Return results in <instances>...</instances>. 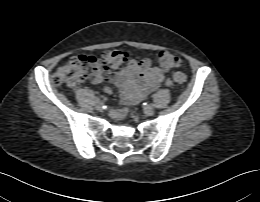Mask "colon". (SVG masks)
Masks as SVG:
<instances>
[{"label":"colon","mask_w":260,"mask_h":202,"mask_svg":"<svg viewBox=\"0 0 260 202\" xmlns=\"http://www.w3.org/2000/svg\"><path fill=\"white\" fill-rule=\"evenodd\" d=\"M127 54L122 49H112L105 52L102 58L94 55H78L72 57L66 64L60 66L52 76L55 85L73 88L79 84L91 81L94 76L110 68L122 67ZM160 68L170 70L176 83L187 82V76L175 69L180 66V58L168 51H161L156 56Z\"/></svg>","instance_id":"5ec220e1"}]
</instances>
